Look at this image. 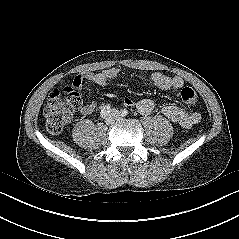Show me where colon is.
<instances>
[{
	"label": "colon",
	"mask_w": 239,
	"mask_h": 239,
	"mask_svg": "<svg viewBox=\"0 0 239 239\" xmlns=\"http://www.w3.org/2000/svg\"><path fill=\"white\" fill-rule=\"evenodd\" d=\"M180 96L189 106L196 105L198 101L197 94L191 87H183ZM80 106V96L71 87H64L53 92L43 110L47 130L53 134L60 133Z\"/></svg>",
	"instance_id": "1"
}]
</instances>
